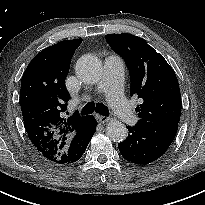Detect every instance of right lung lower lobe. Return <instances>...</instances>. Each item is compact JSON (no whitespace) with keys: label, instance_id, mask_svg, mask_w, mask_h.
Here are the masks:
<instances>
[{"label":"right lung lower lobe","instance_id":"right-lung-lower-lobe-1","mask_svg":"<svg viewBox=\"0 0 205 205\" xmlns=\"http://www.w3.org/2000/svg\"><path fill=\"white\" fill-rule=\"evenodd\" d=\"M96 121L93 116H89L88 123L80 129L69 141L64 154V162L57 164H70L81 158L88 143L96 131Z\"/></svg>","mask_w":205,"mask_h":205}]
</instances>
